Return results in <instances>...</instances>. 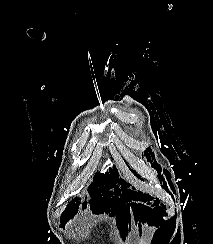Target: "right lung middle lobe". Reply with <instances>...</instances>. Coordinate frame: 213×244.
Masks as SVG:
<instances>
[{
    "mask_svg": "<svg viewBox=\"0 0 213 244\" xmlns=\"http://www.w3.org/2000/svg\"><path fill=\"white\" fill-rule=\"evenodd\" d=\"M116 179L118 178V173H117V169L114 167L113 170L110 169L109 172H107L105 175H100V173H98L95 176V180L99 181L100 179Z\"/></svg>",
    "mask_w": 213,
    "mask_h": 244,
    "instance_id": "obj_1",
    "label": "right lung middle lobe"
}]
</instances>
